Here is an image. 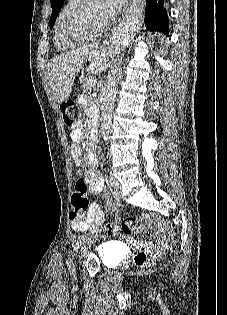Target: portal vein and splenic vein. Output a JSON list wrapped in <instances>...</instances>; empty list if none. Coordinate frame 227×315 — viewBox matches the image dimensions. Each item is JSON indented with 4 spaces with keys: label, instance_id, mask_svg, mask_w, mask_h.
Masks as SVG:
<instances>
[{
    "label": "portal vein and splenic vein",
    "instance_id": "portal-vein-and-splenic-vein-1",
    "mask_svg": "<svg viewBox=\"0 0 227 315\" xmlns=\"http://www.w3.org/2000/svg\"><path fill=\"white\" fill-rule=\"evenodd\" d=\"M96 82V78L94 76H92L90 79H89V84H95Z\"/></svg>",
    "mask_w": 227,
    "mask_h": 315
}]
</instances>
